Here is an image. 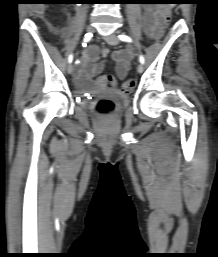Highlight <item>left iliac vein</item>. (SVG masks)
<instances>
[{
    "mask_svg": "<svg viewBox=\"0 0 218 257\" xmlns=\"http://www.w3.org/2000/svg\"><path fill=\"white\" fill-rule=\"evenodd\" d=\"M104 39L109 45H117L119 43V40L115 34H110V35L106 36ZM143 70H144L143 65L141 63H139L138 67H137V71L139 73H142Z\"/></svg>",
    "mask_w": 218,
    "mask_h": 257,
    "instance_id": "4c4485c4",
    "label": "left iliac vein"
}]
</instances>
